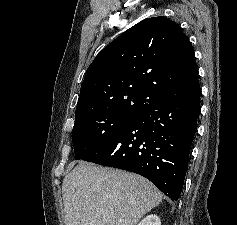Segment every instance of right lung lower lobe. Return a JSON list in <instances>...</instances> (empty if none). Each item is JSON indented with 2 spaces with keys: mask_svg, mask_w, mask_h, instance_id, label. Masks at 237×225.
Listing matches in <instances>:
<instances>
[{
  "mask_svg": "<svg viewBox=\"0 0 237 225\" xmlns=\"http://www.w3.org/2000/svg\"><path fill=\"white\" fill-rule=\"evenodd\" d=\"M200 95L198 84L145 105L120 132L82 160L135 172L177 200L197 130Z\"/></svg>",
  "mask_w": 237,
  "mask_h": 225,
  "instance_id": "1",
  "label": "right lung lower lobe"
}]
</instances>
